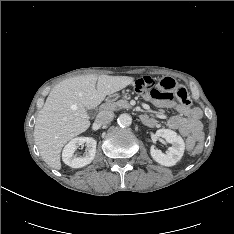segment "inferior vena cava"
I'll return each mask as SVG.
<instances>
[{
  "mask_svg": "<svg viewBox=\"0 0 234 234\" xmlns=\"http://www.w3.org/2000/svg\"><path fill=\"white\" fill-rule=\"evenodd\" d=\"M114 116L111 111H101L96 117V122L100 125L108 124L114 119Z\"/></svg>",
  "mask_w": 234,
  "mask_h": 234,
  "instance_id": "602c4592",
  "label": "inferior vena cava"
}]
</instances>
